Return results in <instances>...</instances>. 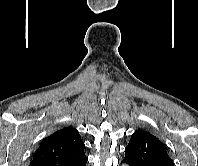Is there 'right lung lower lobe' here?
Returning <instances> with one entry per match:
<instances>
[{"label":"right lung lower lobe","instance_id":"right-lung-lower-lobe-1","mask_svg":"<svg viewBox=\"0 0 198 166\" xmlns=\"http://www.w3.org/2000/svg\"><path fill=\"white\" fill-rule=\"evenodd\" d=\"M86 163H87V160L85 162L81 163V164H77L76 166H85Z\"/></svg>","mask_w":198,"mask_h":166}]
</instances>
